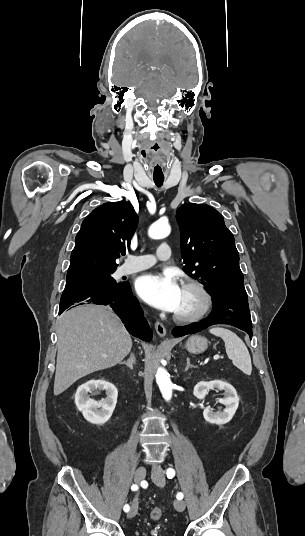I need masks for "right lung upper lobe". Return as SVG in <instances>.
Returning a JSON list of instances; mask_svg holds the SVG:
<instances>
[{"label": "right lung upper lobe", "instance_id": "right-lung-upper-lobe-1", "mask_svg": "<svg viewBox=\"0 0 305 536\" xmlns=\"http://www.w3.org/2000/svg\"><path fill=\"white\" fill-rule=\"evenodd\" d=\"M138 217L129 202H110L94 209L75 238L67 278L115 270L125 254Z\"/></svg>", "mask_w": 305, "mask_h": 536}]
</instances>
